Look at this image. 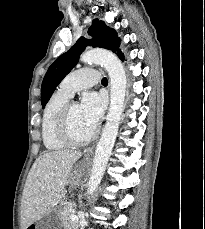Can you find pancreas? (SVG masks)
Segmentation results:
<instances>
[{
    "label": "pancreas",
    "instance_id": "obj_1",
    "mask_svg": "<svg viewBox=\"0 0 205 229\" xmlns=\"http://www.w3.org/2000/svg\"><path fill=\"white\" fill-rule=\"evenodd\" d=\"M74 205L72 202H67L61 209L59 217L64 226V229H78L79 224L77 221L71 220L70 216L73 214Z\"/></svg>",
    "mask_w": 205,
    "mask_h": 229
}]
</instances>
